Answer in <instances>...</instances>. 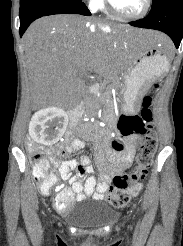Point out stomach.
Here are the masks:
<instances>
[{"mask_svg": "<svg viewBox=\"0 0 183 246\" xmlns=\"http://www.w3.org/2000/svg\"><path fill=\"white\" fill-rule=\"evenodd\" d=\"M133 47L132 60L124 70L125 86L122 91L124 110L131 113L139 110L141 98L147 92L149 83L164 75L169 68L168 57L162 54L157 45L134 42Z\"/></svg>", "mask_w": 183, "mask_h": 246, "instance_id": "obj_1", "label": "stomach"}]
</instances>
